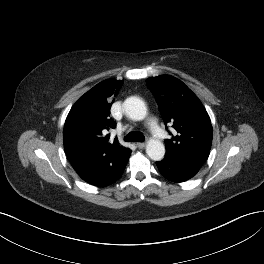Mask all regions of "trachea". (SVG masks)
Returning <instances> with one entry per match:
<instances>
[{
  "label": "trachea",
  "mask_w": 264,
  "mask_h": 264,
  "mask_svg": "<svg viewBox=\"0 0 264 264\" xmlns=\"http://www.w3.org/2000/svg\"><path fill=\"white\" fill-rule=\"evenodd\" d=\"M125 141L128 142H142L145 137L143 136V134L141 132H130L125 136Z\"/></svg>",
  "instance_id": "trachea-1"
}]
</instances>
